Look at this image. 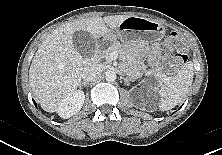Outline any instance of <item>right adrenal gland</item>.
Here are the masks:
<instances>
[{"mask_svg":"<svg viewBox=\"0 0 222 155\" xmlns=\"http://www.w3.org/2000/svg\"><path fill=\"white\" fill-rule=\"evenodd\" d=\"M88 84H89V82H82V83H80V88H82V86H85V87H87L88 86Z\"/></svg>","mask_w":222,"mask_h":155,"instance_id":"obj_1","label":"right adrenal gland"}]
</instances>
